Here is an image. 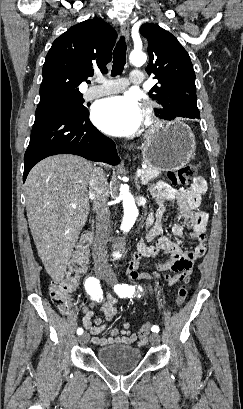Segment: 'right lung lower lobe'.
<instances>
[{"label":"right lung lower lobe","mask_w":243,"mask_h":409,"mask_svg":"<svg viewBox=\"0 0 243 409\" xmlns=\"http://www.w3.org/2000/svg\"><path fill=\"white\" fill-rule=\"evenodd\" d=\"M64 153L111 165L120 162L115 143L92 125L89 113L36 111L29 146L24 155L23 181L40 160Z\"/></svg>","instance_id":"obj_1"}]
</instances>
